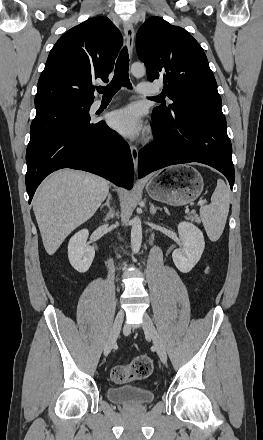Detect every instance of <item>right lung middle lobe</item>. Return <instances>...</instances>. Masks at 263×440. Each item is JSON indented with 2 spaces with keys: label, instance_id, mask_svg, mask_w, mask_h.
<instances>
[{
  "label": "right lung middle lobe",
  "instance_id": "obj_1",
  "mask_svg": "<svg viewBox=\"0 0 263 440\" xmlns=\"http://www.w3.org/2000/svg\"><path fill=\"white\" fill-rule=\"evenodd\" d=\"M91 104L59 102L36 108V116L30 128L29 144L64 128L90 125L89 109Z\"/></svg>",
  "mask_w": 263,
  "mask_h": 440
}]
</instances>
